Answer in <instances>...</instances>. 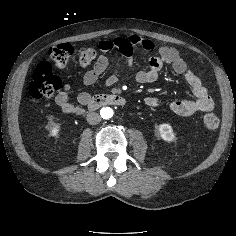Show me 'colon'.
<instances>
[{"mask_svg":"<svg viewBox=\"0 0 236 236\" xmlns=\"http://www.w3.org/2000/svg\"><path fill=\"white\" fill-rule=\"evenodd\" d=\"M73 54V47L64 43L49 49V57L59 67L67 64ZM95 58V51L92 48H84L78 52V63L82 68L88 67ZM61 87V80L53 73L52 66L48 62L39 64L32 76L29 85L30 95L35 99L52 96ZM204 125L209 129H215L220 123L215 113H207L203 117Z\"/></svg>","mask_w":236,"mask_h":236,"instance_id":"5ec220e1","label":"colon"}]
</instances>
